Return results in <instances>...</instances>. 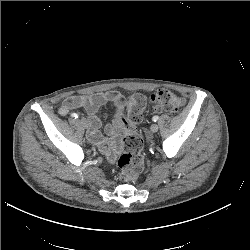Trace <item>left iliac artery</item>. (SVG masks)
I'll return each mask as SVG.
<instances>
[{"mask_svg":"<svg viewBox=\"0 0 250 250\" xmlns=\"http://www.w3.org/2000/svg\"><path fill=\"white\" fill-rule=\"evenodd\" d=\"M158 119H159L158 116H154V117L152 118V120H153L154 122H156Z\"/></svg>","mask_w":250,"mask_h":250,"instance_id":"44dca946","label":"left iliac artery"}]
</instances>
